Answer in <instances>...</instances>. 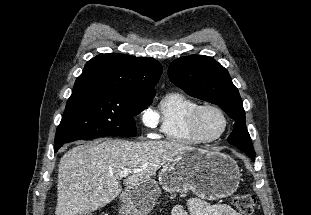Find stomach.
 Returning <instances> with one entry per match:
<instances>
[{"label":"stomach","mask_w":311,"mask_h":215,"mask_svg":"<svg viewBox=\"0 0 311 215\" xmlns=\"http://www.w3.org/2000/svg\"><path fill=\"white\" fill-rule=\"evenodd\" d=\"M240 171L230 156L213 150L193 148L166 163L153 179L125 189L121 195L122 215H148L160 195L189 191L207 200L232 195L238 188Z\"/></svg>","instance_id":"obj_1"}]
</instances>
